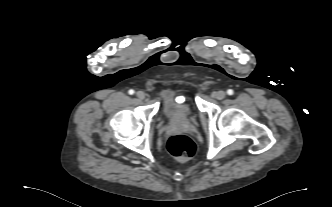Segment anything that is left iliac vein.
Listing matches in <instances>:
<instances>
[{
  "label": "left iliac vein",
  "mask_w": 332,
  "mask_h": 207,
  "mask_svg": "<svg viewBox=\"0 0 332 207\" xmlns=\"http://www.w3.org/2000/svg\"><path fill=\"white\" fill-rule=\"evenodd\" d=\"M225 96H226V93H225L224 91H222V90L217 91V92H215V93L213 94V97H214L215 99H217V100H222V99L225 98Z\"/></svg>",
  "instance_id": "obj_1"
}]
</instances>
